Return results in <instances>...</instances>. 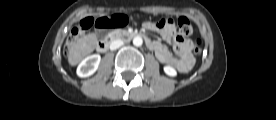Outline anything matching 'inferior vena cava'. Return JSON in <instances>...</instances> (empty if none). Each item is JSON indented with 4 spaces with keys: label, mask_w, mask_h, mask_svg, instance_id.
Returning a JSON list of instances; mask_svg holds the SVG:
<instances>
[{
    "label": "inferior vena cava",
    "mask_w": 276,
    "mask_h": 120,
    "mask_svg": "<svg viewBox=\"0 0 276 120\" xmlns=\"http://www.w3.org/2000/svg\"><path fill=\"white\" fill-rule=\"evenodd\" d=\"M122 45H123V41L118 39V40H115V41L111 42L110 49L111 50H116L119 47H121Z\"/></svg>",
    "instance_id": "1"
}]
</instances>
